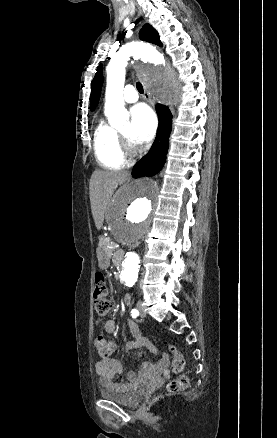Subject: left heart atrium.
Here are the masks:
<instances>
[{"instance_id":"obj_1","label":"left heart atrium","mask_w":277,"mask_h":438,"mask_svg":"<svg viewBox=\"0 0 277 438\" xmlns=\"http://www.w3.org/2000/svg\"><path fill=\"white\" fill-rule=\"evenodd\" d=\"M133 127L130 140L141 147L151 141L156 130V117L152 109L146 104H140L131 109Z\"/></svg>"}]
</instances>
